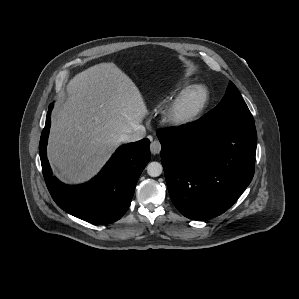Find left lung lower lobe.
<instances>
[{"instance_id":"1","label":"left lung lower lobe","mask_w":299,"mask_h":299,"mask_svg":"<svg viewBox=\"0 0 299 299\" xmlns=\"http://www.w3.org/2000/svg\"><path fill=\"white\" fill-rule=\"evenodd\" d=\"M171 200L187 218L205 220L228 210L255 170L254 124L213 126L197 120L157 131Z\"/></svg>"}]
</instances>
